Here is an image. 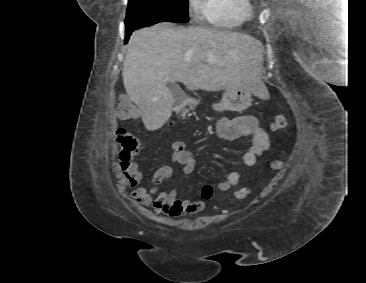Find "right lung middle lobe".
<instances>
[{"instance_id": "dd1d6c3e", "label": "right lung middle lobe", "mask_w": 366, "mask_h": 283, "mask_svg": "<svg viewBox=\"0 0 366 283\" xmlns=\"http://www.w3.org/2000/svg\"><path fill=\"white\" fill-rule=\"evenodd\" d=\"M188 0H129L126 30H135L159 22H188Z\"/></svg>"}]
</instances>
